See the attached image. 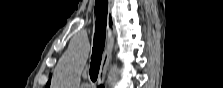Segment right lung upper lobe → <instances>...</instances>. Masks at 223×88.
<instances>
[{
    "label": "right lung upper lobe",
    "instance_id": "obj_1",
    "mask_svg": "<svg viewBox=\"0 0 223 88\" xmlns=\"http://www.w3.org/2000/svg\"><path fill=\"white\" fill-rule=\"evenodd\" d=\"M49 85H50V80L48 81V83H47L46 87L48 88V87H49Z\"/></svg>",
    "mask_w": 223,
    "mask_h": 88
}]
</instances>
